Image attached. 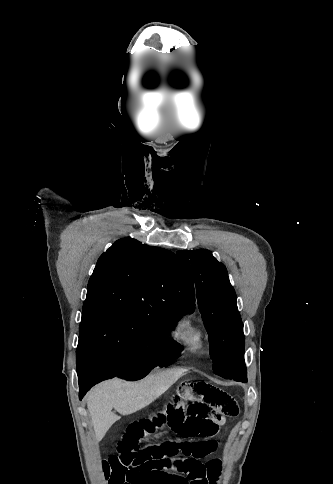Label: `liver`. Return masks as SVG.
<instances>
[{"label":"liver","mask_w":333,"mask_h":484,"mask_svg":"<svg viewBox=\"0 0 333 484\" xmlns=\"http://www.w3.org/2000/svg\"><path fill=\"white\" fill-rule=\"evenodd\" d=\"M184 372V369H169L139 382L114 378L93 387L86 400L97 441L120 419L112 413V408L122 415L135 413L160 397Z\"/></svg>","instance_id":"obj_1"}]
</instances>
